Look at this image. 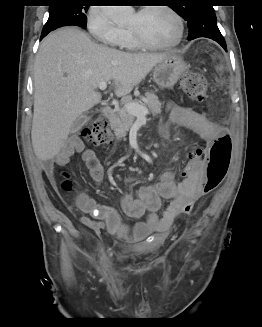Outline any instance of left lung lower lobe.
<instances>
[{
    "label": "left lung lower lobe",
    "mask_w": 262,
    "mask_h": 327,
    "mask_svg": "<svg viewBox=\"0 0 262 327\" xmlns=\"http://www.w3.org/2000/svg\"><path fill=\"white\" fill-rule=\"evenodd\" d=\"M217 25V24H216ZM206 30H196V31H192L189 32V36H188V40H192L198 37H206V38H210L212 40H215L216 42H218L225 51H227V46L225 43V40L222 36V34L220 33L218 27L212 28L211 30H209V28H204Z\"/></svg>",
    "instance_id": "0a47b994"
}]
</instances>
